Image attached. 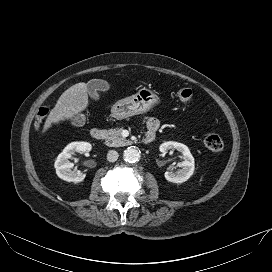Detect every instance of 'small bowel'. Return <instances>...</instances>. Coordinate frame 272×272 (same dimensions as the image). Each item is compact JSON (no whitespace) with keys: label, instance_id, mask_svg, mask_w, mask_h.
<instances>
[{"label":"small bowel","instance_id":"small-bowel-1","mask_svg":"<svg viewBox=\"0 0 272 272\" xmlns=\"http://www.w3.org/2000/svg\"><path fill=\"white\" fill-rule=\"evenodd\" d=\"M144 124L146 127V134L154 133L157 131L159 127V121L154 117H148L144 120Z\"/></svg>","mask_w":272,"mask_h":272}]
</instances>
